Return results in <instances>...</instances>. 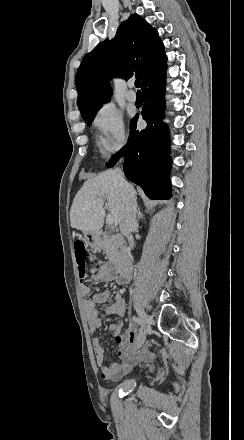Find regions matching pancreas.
Returning <instances> with one entry per match:
<instances>
[{
  "mask_svg": "<svg viewBox=\"0 0 244 440\" xmlns=\"http://www.w3.org/2000/svg\"><path fill=\"white\" fill-rule=\"evenodd\" d=\"M121 246L120 240H117L116 236H107L104 242V252L108 256V260L113 262V264H117L121 258V254L119 252V248Z\"/></svg>",
  "mask_w": 244,
  "mask_h": 440,
  "instance_id": "obj_1",
  "label": "pancreas"
}]
</instances>
